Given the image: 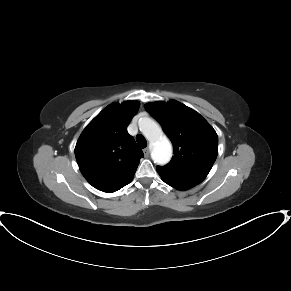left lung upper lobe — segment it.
I'll return each instance as SVG.
<instances>
[{
  "instance_id": "5c2ea615",
  "label": "left lung upper lobe",
  "mask_w": 291,
  "mask_h": 291,
  "mask_svg": "<svg viewBox=\"0 0 291 291\" xmlns=\"http://www.w3.org/2000/svg\"><path fill=\"white\" fill-rule=\"evenodd\" d=\"M145 107L161 124L174 148L170 163L156 168L161 178L187 186L202 182L217 157L215 130L200 114L176 100L149 103Z\"/></svg>"
}]
</instances>
